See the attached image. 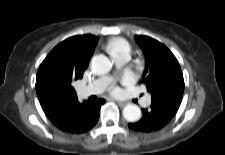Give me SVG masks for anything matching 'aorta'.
Masks as SVG:
<instances>
[{
  "label": "aorta",
  "instance_id": "762f6f07",
  "mask_svg": "<svg viewBox=\"0 0 225 155\" xmlns=\"http://www.w3.org/2000/svg\"><path fill=\"white\" fill-rule=\"evenodd\" d=\"M92 69L99 75L107 74L112 68V62L105 55H96L91 61ZM123 116L129 122H136L141 117V109L135 104L126 105Z\"/></svg>",
  "mask_w": 225,
  "mask_h": 155
}]
</instances>
